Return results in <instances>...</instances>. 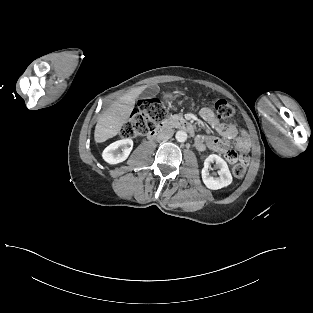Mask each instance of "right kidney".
I'll return each mask as SVG.
<instances>
[{
	"label": "right kidney",
	"instance_id": "obj_1",
	"mask_svg": "<svg viewBox=\"0 0 313 313\" xmlns=\"http://www.w3.org/2000/svg\"><path fill=\"white\" fill-rule=\"evenodd\" d=\"M133 148V140L126 138L115 141L107 146L103 153V159L109 164H117L125 161Z\"/></svg>",
	"mask_w": 313,
	"mask_h": 313
}]
</instances>
